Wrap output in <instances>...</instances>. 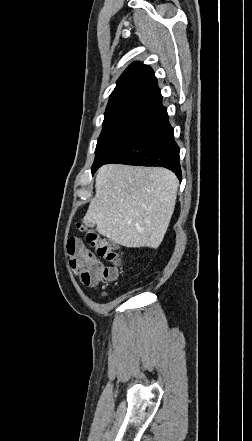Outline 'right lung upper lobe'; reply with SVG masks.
Listing matches in <instances>:
<instances>
[{
  "mask_svg": "<svg viewBox=\"0 0 252 441\" xmlns=\"http://www.w3.org/2000/svg\"><path fill=\"white\" fill-rule=\"evenodd\" d=\"M159 92L152 69L140 62L132 63L117 81L106 110L132 102H147Z\"/></svg>",
  "mask_w": 252,
  "mask_h": 441,
  "instance_id": "cb5924a9",
  "label": "right lung upper lobe"
}]
</instances>
